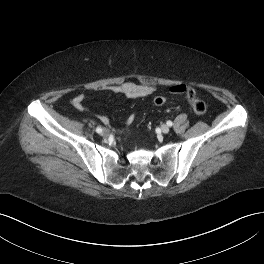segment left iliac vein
<instances>
[{
  "instance_id": "left-iliac-vein-1",
  "label": "left iliac vein",
  "mask_w": 264,
  "mask_h": 264,
  "mask_svg": "<svg viewBox=\"0 0 264 264\" xmlns=\"http://www.w3.org/2000/svg\"><path fill=\"white\" fill-rule=\"evenodd\" d=\"M170 128L168 125H162L161 126V131L164 133V134H167L169 132Z\"/></svg>"
}]
</instances>
